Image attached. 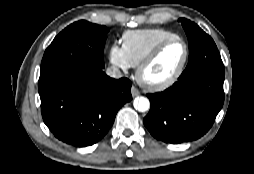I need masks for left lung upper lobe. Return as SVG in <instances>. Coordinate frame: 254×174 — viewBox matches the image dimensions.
Listing matches in <instances>:
<instances>
[{"instance_id":"obj_1","label":"left lung upper lobe","mask_w":254,"mask_h":174,"mask_svg":"<svg viewBox=\"0 0 254 174\" xmlns=\"http://www.w3.org/2000/svg\"><path fill=\"white\" fill-rule=\"evenodd\" d=\"M189 42V60L179 77L185 79L205 70L224 71L220 53L213 39L197 24L185 18L179 19Z\"/></svg>"}]
</instances>
